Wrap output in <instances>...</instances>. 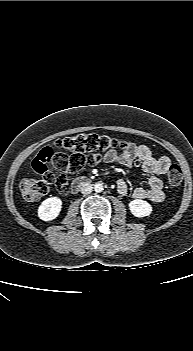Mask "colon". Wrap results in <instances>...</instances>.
I'll return each mask as SVG.
<instances>
[{
  "label": "colon",
  "instance_id": "obj_1",
  "mask_svg": "<svg viewBox=\"0 0 193 351\" xmlns=\"http://www.w3.org/2000/svg\"><path fill=\"white\" fill-rule=\"evenodd\" d=\"M55 147L70 154L56 153L52 147L43 148L32 162L33 170L42 176L41 179H23L19 183L22 198L33 202L47 195L53 185L59 192L68 188L66 172H76L86 166L96 165L102 156L116 148H124L125 143L103 134H79L66 137L55 142ZM52 164L63 173L56 175L47 170V164ZM168 183L172 187L181 184L183 174L177 164H171L167 172Z\"/></svg>",
  "mask_w": 193,
  "mask_h": 351
}]
</instances>
